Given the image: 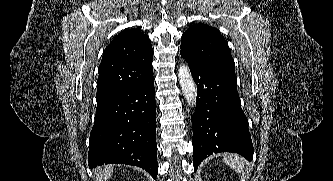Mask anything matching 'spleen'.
Wrapping results in <instances>:
<instances>
[{"mask_svg": "<svg viewBox=\"0 0 333 181\" xmlns=\"http://www.w3.org/2000/svg\"><path fill=\"white\" fill-rule=\"evenodd\" d=\"M223 162L230 166L233 170L239 173H243L245 169V161L242 157L234 154L229 156H224Z\"/></svg>", "mask_w": 333, "mask_h": 181, "instance_id": "spleen-1", "label": "spleen"}]
</instances>
